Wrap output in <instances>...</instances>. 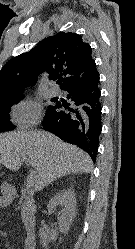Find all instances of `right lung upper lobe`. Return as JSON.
<instances>
[{"label":"right lung upper lobe","mask_w":135,"mask_h":249,"mask_svg":"<svg viewBox=\"0 0 135 249\" xmlns=\"http://www.w3.org/2000/svg\"><path fill=\"white\" fill-rule=\"evenodd\" d=\"M46 70L52 80L65 76L60 88L94 77L98 71L90 45L82 36L60 32L44 39L27 53L10 59L0 71V100L21 96L27 86L37 82Z\"/></svg>","instance_id":"cb5924a9"}]
</instances>
